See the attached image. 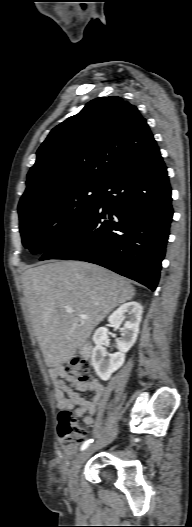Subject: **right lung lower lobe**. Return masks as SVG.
Masks as SVG:
<instances>
[{
  "label": "right lung lower lobe",
  "instance_id": "98d812e1",
  "mask_svg": "<svg viewBox=\"0 0 192 527\" xmlns=\"http://www.w3.org/2000/svg\"><path fill=\"white\" fill-rule=\"evenodd\" d=\"M172 215L166 166L152 140L103 186L86 219L40 260L98 264L154 291Z\"/></svg>",
  "mask_w": 192,
  "mask_h": 527
}]
</instances>
